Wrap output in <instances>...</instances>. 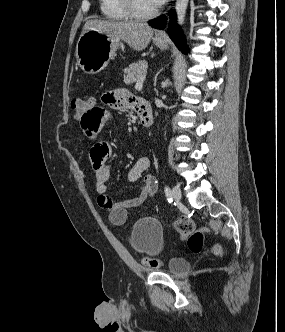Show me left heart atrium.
I'll use <instances>...</instances> for the list:
<instances>
[{
  "label": "left heart atrium",
  "instance_id": "39dd6f15",
  "mask_svg": "<svg viewBox=\"0 0 285 332\" xmlns=\"http://www.w3.org/2000/svg\"><path fill=\"white\" fill-rule=\"evenodd\" d=\"M153 5L157 8L165 3L166 0H151Z\"/></svg>",
  "mask_w": 285,
  "mask_h": 332
}]
</instances>
